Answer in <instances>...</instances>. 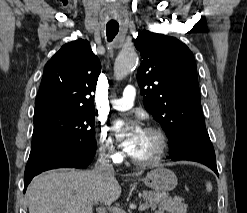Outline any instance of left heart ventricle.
Instances as JSON below:
<instances>
[{
	"label": "left heart ventricle",
	"mask_w": 247,
	"mask_h": 213,
	"mask_svg": "<svg viewBox=\"0 0 247 213\" xmlns=\"http://www.w3.org/2000/svg\"><path fill=\"white\" fill-rule=\"evenodd\" d=\"M159 147V140L153 133L144 131V134L138 144V147L132 154L133 157L141 160L152 158Z\"/></svg>",
	"instance_id": "obj_1"
}]
</instances>
